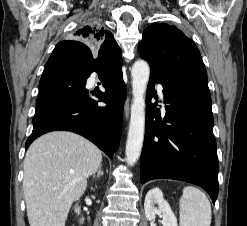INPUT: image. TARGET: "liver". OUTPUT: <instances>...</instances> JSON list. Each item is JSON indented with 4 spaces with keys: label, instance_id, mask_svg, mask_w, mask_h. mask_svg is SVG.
Returning a JSON list of instances; mask_svg holds the SVG:
<instances>
[{
    "label": "liver",
    "instance_id": "1",
    "mask_svg": "<svg viewBox=\"0 0 247 226\" xmlns=\"http://www.w3.org/2000/svg\"><path fill=\"white\" fill-rule=\"evenodd\" d=\"M101 151L80 135L56 131L36 139L24 159L23 190L30 226H65L87 178L101 166Z\"/></svg>",
    "mask_w": 247,
    "mask_h": 226
}]
</instances>
